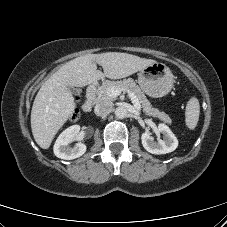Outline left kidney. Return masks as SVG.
Segmentation results:
<instances>
[{"label":"left kidney","instance_id":"5707ae66","mask_svg":"<svg viewBox=\"0 0 227 227\" xmlns=\"http://www.w3.org/2000/svg\"><path fill=\"white\" fill-rule=\"evenodd\" d=\"M158 130L163 134V140L158 139L155 141L148 132L142 134L141 140L145 150H147L149 153L157 155L174 151L178 146V140L170 128L165 124H159Z\"/></svg>","mask_w":227,"mask_h":227}]
</instances>
